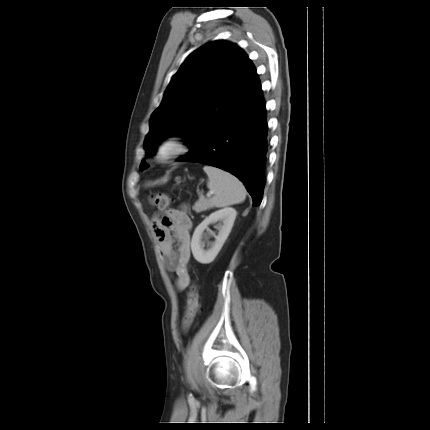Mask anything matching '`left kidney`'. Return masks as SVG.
<instances>
[{"mask_svg": "<svg viewBox=\"0 0 430 430\" xmlns=\"http://www.w3.org/2000/svg\"><path fill=\"white\" fill-rule=\"evenodd\" d=\"M237 212L232 207H226L215 212H212L208 217H206L195 229L192 240H191V250L194 258L202 264H209L218 255L223 244L227 240L231 229L233 227ZM216 228L218 229V235L215 236V241L208 243L209 248L204 249L206 243L202 240L203 232L208 228L211 223H216Z\"/></svg>", "mask_w": 430, "mask_h": 430, "instance_id": "left-kidney-1", "label": "left kidney"}]
</instances>
